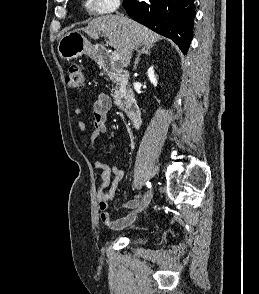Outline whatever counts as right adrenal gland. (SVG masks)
<instances>
[{"label":"right adrenal gland","instance_id":"2a0ac1e0","mask_svg":"<svg viewBox=\"0 0 259 294\" xmlns=\"http://www.w3.org/2000/svg\"><path fill=\"white\" fill-rule=\"evenodd\" d=\"M152 47H153V45L143 46L142 49L138 51L137 58H136V60L134 62V69L137 68V65H138V63L140 61V56L142 54H146V55H150L151 54L150 50H151Z\"/></svg>","mask_w":259,"mask_h":294}]
</instances>
